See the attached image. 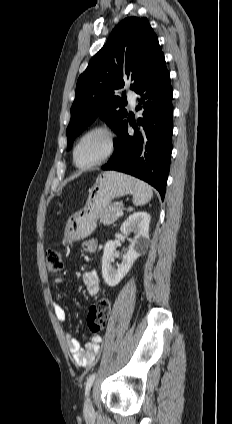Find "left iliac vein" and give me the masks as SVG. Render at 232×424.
Returning a JSON list of instances; mask_svg holds the SVG:
<instances>
[{"mask_svg":"<svg viewBox=\"0 0 232 424\" xmlns=\"http://www.w3.org/2000/svg\"><path fill=\"white\" fill-rule=\"evenodd\" d=\"M93 411H94V409H93L92 401H91L90 397H87L86 402H85L84 412L86 414H91V413H93Z\"/></svg>","mask_w":232,"mask_h":424,"instance_id":"obj_1","label":"left iliac vein"}]
</instances>
